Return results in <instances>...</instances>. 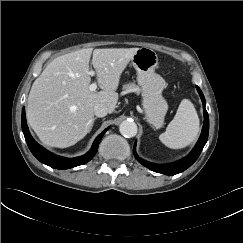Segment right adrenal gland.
I'll use <instances>...</instances> for the list:
<instances>
[{
	"mask_svg": "<svg viewBox=\"0 0 243 243\" xmlns=\"http://www.w3.org/2000/svg\"><path fill=\"white\" fill-rule=\"evenodd\" d=\"M96 119H97V118H94V119H93L92 127H93V124H94V122H95ZM92 127H91V130H92ZM91 130H90V131H91Z\"/></svg>",
	"mask_w": 243,
	"mask_h": 243,
	"instance_id": "obj_1",
	"label": "right adrenal gland"
}]
</instances>
